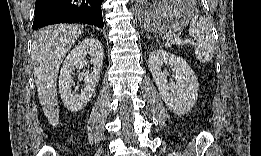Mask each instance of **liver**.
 <instances>
[{
	"mask_svg": "<svg viewBox=\"0 0 261 156\" xmlns=\"http://www.w3.org/2000/svg\"><path fill=\"white\" fill-rule=\"evenodd\" d=\"M83 33V26L59 24L45 27L35 35L32 47L34 77L40 104L49 123H59L57 77L69 49Z\"/></svg>",
	"mask_w": 261,
	"mask_h": 156,
	"instance_id": "liver-1",
	"label": "liver"
}]
</instances>
